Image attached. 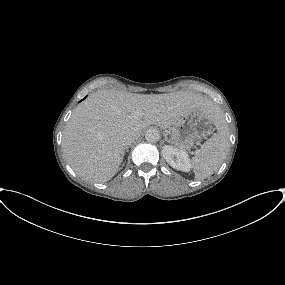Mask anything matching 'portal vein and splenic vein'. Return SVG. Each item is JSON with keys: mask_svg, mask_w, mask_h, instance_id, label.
<instances>
[{"mask_svg": "<svg viewBox=\"0 0 285 285\" xmlns=\"http://www.w3.org/2000/svg\"><path fill=\"white\" fill-rule=\"evenodd\" d=\"M141 115H142V113H141L140 111H135V112L132 114V116L135 117V118H137V117H139V116H141Z\"/></svg>", "mask_w": 285, "mask_h": 285, "instance_id": "obj_1", "label": "portal vein and splenic vein"}]
</instances>
